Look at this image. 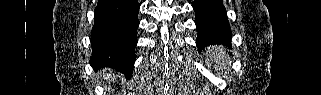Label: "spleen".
Instances as JSON below:
<instances>
[{
    "label": "spleen",
    "instance_id": "3e777b00",
    "mask_svg": "<svg viewBox=\"0 0 321 95\" xmlns=\"http://www.w3.org/2000/svg\"><path fill=\"white\" fill-rule=\"evenodd\" d=\"M206 57L208 63L210 62L213 64L216 69L225 68L227 66L228 57L226 50L223 47L214 46L207 48Z\"/></svg>",
    "mask_w": 321,
    "mask_h": 95
}]
</instances>
